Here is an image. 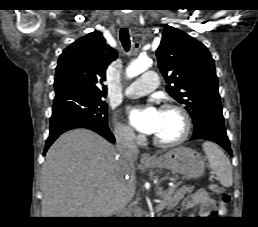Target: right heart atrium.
Listing matches in <instances>:
<instances>
[{
  "mask_svg": "<svg viewBox=\"0 0 258 227\" xmlns=\"http://www.w3.org/2000/svg\"><path fill=\"white\" fill-rule=\"evenodd\" d=\"M114 136L118 142L125 144H134L138 140V136L127 125L115 120L113 128Z\"/></svg>",
  "mask_w": 258,
  "mask_h": 227,
  "instance_id": "obj_1",
  "label": "right heart atrium"
}]
</instances>
